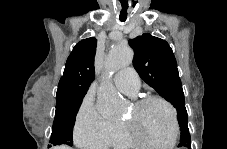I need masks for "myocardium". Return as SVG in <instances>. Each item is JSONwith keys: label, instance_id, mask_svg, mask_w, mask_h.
<instances>
[{"label": "myocardium", "instance_id": "1", "mask_svg": "<svg viewBox=\"0 0 227 149\" xmlns=\"http://www.w3.org/2000/svg\"><path fill=\"white\" fill-rule=\"evenodd\" d=\"M151 103H161L167 109L170 111L172 120H173V135L171 140L168 143H157L153 142L149 139H147L144 135H142L135 127L134 121L133 120H125L124 125L129 133V135L140 145L143 146H150V147H158V148H163V147H171L174 146L177 142L179 131H180V126H179V121H178V116H177V111L174 108V106L165 100L164 98L158 97V96H149L145 97L142 99L137 100L133 108L135 111H140L143 107H145L148 104Z\"/></svg>", "mask_w": 227, "mask_h": 149}]
</instances>
